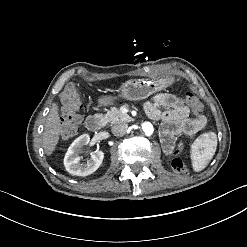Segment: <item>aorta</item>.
Instances as JSON below:
<instances>
[{"label":"aorta","mask_w":247,"mask_h":247,"mask_svg":"<svg viewBox=\"0 0 247 247\" xmlns=\"http://www.w3.org/2000/svg\"><path fill=\"white\" fill-rule=\"evenodd\" d=\"M142 131L146 136H151L154 132V127L150 122L142 123Z\"/></svg>","instance_id":"1"}]
</instances>
